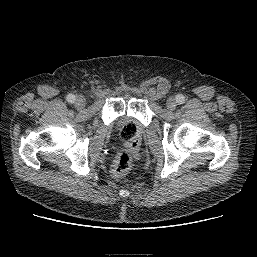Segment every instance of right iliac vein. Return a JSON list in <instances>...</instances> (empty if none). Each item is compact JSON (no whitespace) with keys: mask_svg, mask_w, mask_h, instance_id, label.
Masks as SVG:
<instances>
[{"mask_svg":"<svg viewBox=\"0 0 257 257\" xmlns=\"http://www.w3.org/2000/svg\"><path fill=\"white\" fill-rule=\"evenodd\" d=\"M86 104V100L83 96H78L76 99H75V106L79 109L83 108Z\"/></svg>","mask_w":257,"mask_h":257,"instance_id":"1","label":"right iliac vein"}]
</instances>
